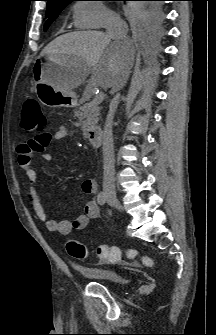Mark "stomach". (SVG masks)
<instances>
[{
    "mask_svg": "<svg viewBox=\"0 0 216 335\" xmlns=\"http://www.w3.org/2000/svg\"><path fill=\"white\" fill-rule=\"evenodd\" d=\"M73 59L66 57H41L35 62L33 73L36 83V93L40 102L48 107L72 108L78 105L76 94L61 90L64 75L70 69Z\"/></svg>",
    "mask_w": 216,
    "mask_h": 335,
    "instance_id": "0dacf381",
    "label": "stomach"
}]
</instances>
